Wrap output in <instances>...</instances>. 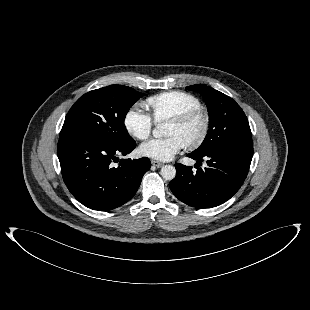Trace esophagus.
I'll return each instance as SVG.
<instances>
[{"label":"esophagus","instance_id":"esophagus-1","mask_svg":"<svg viewBox=\"0 0 310 310\" xmlns=\"http://www.w3.org/2000/svg\"><path fill=\"white\" fill-rule=\"evenodd\" d=\"M152 165L157 167V168H160L163 166V163L159 162V161H156V160H152L151 161Z\"/></svg>","mask_w":310,"mask_h":310}]
</instances>
